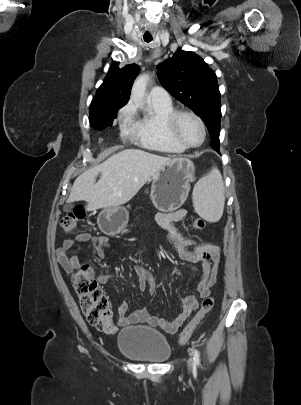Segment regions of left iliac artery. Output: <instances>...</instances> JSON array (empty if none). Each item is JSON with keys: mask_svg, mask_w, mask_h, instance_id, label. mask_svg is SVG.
<instances>
[{"mask_svg": "<svg viewBox=\"0 0 301 405\" xmlns=\"http://www.w3.org/2000/svg\"><path fill=\"white\" fill-rule=\"evenodd\" d=\"M193 360H194V365L198 366L200 363V353L197 349L194 350Z\"/></svg>", "mask_w": 301, "mask_h": 405, "instance_id": "1", "label": "left iliac artery"}]
</instances>
